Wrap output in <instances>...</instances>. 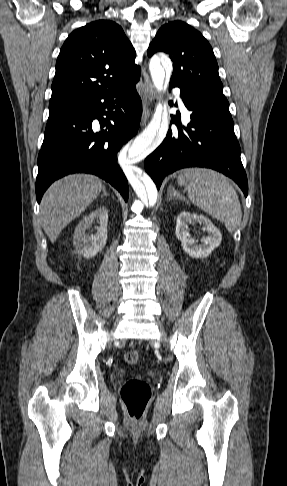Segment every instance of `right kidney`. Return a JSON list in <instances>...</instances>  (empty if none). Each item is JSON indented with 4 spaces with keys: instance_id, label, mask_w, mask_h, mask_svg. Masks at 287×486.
I'll list each match as a JSON object with an SVG mask.
<instances>
[{
    "instance_id": "obj_1",
    "label": "right kidney",
    "mask_w": 287,
    "mask_h": 486,
    "mask_svg": "<svg viewBox=\"0 0 287 486\" xmlns=\"http://www.w3.org/2000/svg\"><path fill=\"white\" fill-rule=\"evenodd\" d=\"M95 222L99 223L97 232L90 236L87 235L86 230L92 227ZM107 223L108 210L104 206L98 207L92 213L83 217L73 234V243L78 254L90 258L103 250L107 241Z\"/></svg>"
}]
</instances>
